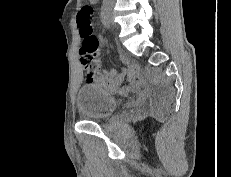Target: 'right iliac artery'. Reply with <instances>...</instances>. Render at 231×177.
Returning <instances> with one entry per match:
<instances>
[{"mask_svg":"<svg viewBox=\"0 0 231 177\" xmlns=\"http://www.w3.org/2000/svg\"><path fill=\"white\" fill-rule=\"evenodd\" d=\"M101 21L103 23V25L110 29V19H109V16H108V13H107V10H106V7H102L101 9Z\"/></svg>","mask_w":231,"mask_h":177,"instance_id":"right-iliac-artery-1","label":"right iliac artery"}]
</instances>
